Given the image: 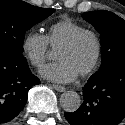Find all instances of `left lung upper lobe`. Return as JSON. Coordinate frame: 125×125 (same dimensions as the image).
Returning a JSON list of instances; mask_svg holds the SVG:
<instances>
[{
  "label": "left lung upper lobe",
  "instance_id": "5c2ea615",
  "mask_svg": "<svg viewBox=\"0 0 125 125\" xmlns=\"http://www.w3.org/2000/svg\"><path fill=\"white\" fill-rule=\"evenodd\" d=\"M83 18L102 36V64L95 74L111 65L125 63V21L109 11L86 12Z\"/></svg>",
  "mask_w": 125,
  "mask_h": 125
}]
</instances>
